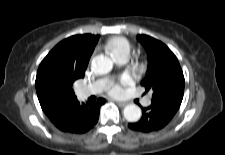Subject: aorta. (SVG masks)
Wrapping results in <instances>:
<instances>
[{
  "mask_svg": "<svg viewBox=\"0 0 225 155\" xmlns=\"http://www.w3.org/2000/svg\"><path fill=\"white\" fill-rule=\"evenodd\" d=\"M92 68L98 74H107L113 68V61L105 55H98L92 60ZM123 115L127 121L136 122L141 118V109L135 104H129L124 108Z\"/></svg>",
  "mask_w": 225,
  "mask_h": 155,
  "instance_id": "aorta-1",
  "label": "aorta"
}]
</instances>
